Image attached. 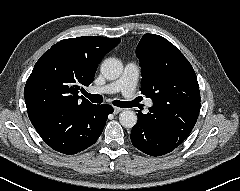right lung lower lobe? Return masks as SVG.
Returning a JSON list of instances; mask_svg holds the SVG:
<instances>
[{"instance_id": "1", "label": "right lung lower lobe", "mask_w": 240, "mask_h": 191, "mask_svg": "<svg viewBox=\"0 0 240 191\" xmlns=\"http://www.w3.org/2000/svg\"><path fill=\"white\" fill-rule=\"evenodd\" d=\"M110 105L58 107L30 118L38 134L55 151L71 155L93 145L102 133Z\"/></svg>"}]
</instances>
